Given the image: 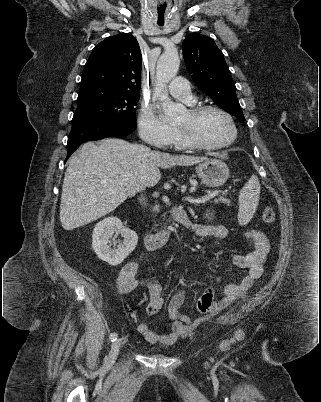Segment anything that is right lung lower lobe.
Listing matches in <instances>:
<instances>
[{
  "label": "right lung lower lobe",
  "instance_id": "obj_1",
  "mask_svg": "<svg viewBox=\"0 0 321 402\" xmlns=\"http://www.w3.org/2000/svg\"><path fill=\"white\" fill-rule=\"evenodd\" d=\"M136 129V125L124 121L82 120L72 122L67 142V159L83 143L105 137L126 136Z\"/></svg>",
  "mask_w": 321,
  "mask_h": 402
}]
</instances>
